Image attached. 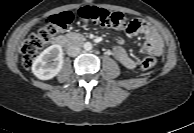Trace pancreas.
<instances>
[{
	"mask_svg": "<svg viewBox=\"0 0 194 133\" xmlns=\"http://www.w3.org/2000/svg\"><path fill=\"white\" fill-rule=\"evenodd\" d=\"M67 36L70 37V38H76V37L79 36V34L69 33V34H67Z\"/></svg>",
	"mask_w": 194,
	"mask_h": 133,
	"instance_id": "obj_1",
	"label": "pancreas"
}]
</instances>
